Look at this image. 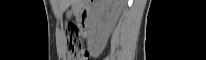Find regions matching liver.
Instances as JSON below:
<instances>
[{"label":"liver","mask_w":206,"mask_h":60,"mask_svg":"<svg viewBox=\"0 0 206 60\" xmlns=\"http://www.w3.org/2000/svg\"><path fill=\"white\" fill-rule=\"evenodd\" d=\"M75 0H58L60 9L62 11H65L69 5L73 4ZM111 2H114V4L112 5V15H113V19L114 21H117L118 17L121 14L122 8L125 4V0H112V1H107L108 4H111Z\"/></svg>","instance_id":"6515ba94"}]
</instances>
